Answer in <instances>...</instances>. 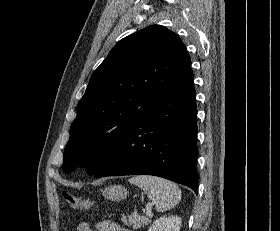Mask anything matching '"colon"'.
Here are the masks:
<instances>
[{"label": "colon", "mask_w": 280, "mask_h": 231, "mask_svg": "<svg viewBox=\"0 0 280 231\" xmlns=\"http://www.w3.org/2000/svg\"><path fill=\"white\" fill-rule=\"evenodd\" d=\"M62 196L68 206L73 209L86 210L94 205L93 202H89L80 197L74 196L68 191H63Z\"/></svg>", "instance_id": "1"}]
</instances>
